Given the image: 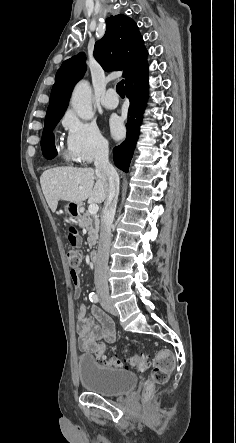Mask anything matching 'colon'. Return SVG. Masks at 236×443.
Masks as SVG:
<instances>
[{
	"instance_id": "colon-1",
	"label": "colon",
	"mask_w": 236,
	"mask_h": 443,
	"mask_svg": "<svg viewBox=\"0 0 236 443\" xmlns=\"http://www.w3.org/2000/svg\"><path fill=\"white\" fill-rule=\"evenodd\" d=\"M66 233L71 244H76L78 242V232L73 225L67 226ZM66 257L71 268L70 275L74 283L78 280L77 270L80 266L81 255L78 250L69 249L66 253ZM92 353L95 355L96 359L104 365L116 368L124 367L123 362L118 357L107 356L105 345L103 343H97L94 346ZM130 365L138 371H145L148 368L149 363L145 355H134L131 358ZM173 366L174 357L169 351H161L154 357L150 377L144 389L145 399L150 396L155 385L164 384L168 380L169 373L173 369Z\"/></svg>"
}]
</instances>
